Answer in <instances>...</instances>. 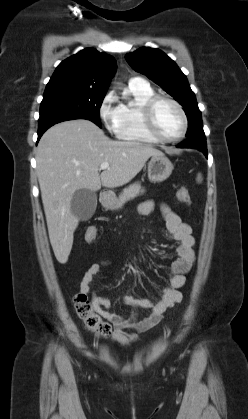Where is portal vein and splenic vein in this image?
<instances>
[{"label":"portal vein and splenic vein","instance_id":"obj_1","mask_svg":"<svg viewBox=\"0 0 248 419\" xmlns=\"http://www.w3.org/2000/svg\"><path fill=\"white\" fill-rule=\"evenodd\" d=\"M107 168H109V163H107V162H104L100 165L101 170H104V169H107Z\"/></svg>","mask_w":248,"mask_h":419}]
</instances>
